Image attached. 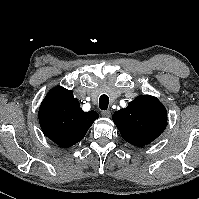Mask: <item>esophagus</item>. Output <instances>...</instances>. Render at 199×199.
Here are the masks:
<instances>
[{
  "mask_svg": "<svg viewBox=\"0 0 199 199\" xmlns=\"http://www.w3.org/2000/svg\"><path fill=\"white\" fill-rule=\"evenodd\" d=\"M101 114L104 117H110L111 116V111L110 110H105V111H102Z\"/></svg>",
  "mask_w": 199,
  "mask_h": 199,
  "instance_id": "obj_1",
  "label": "esophagus"
}]
</instances>
